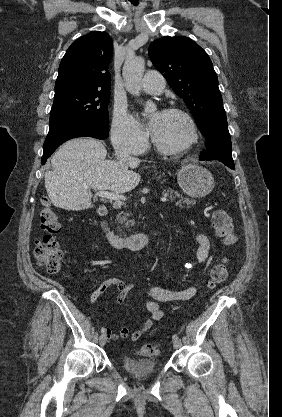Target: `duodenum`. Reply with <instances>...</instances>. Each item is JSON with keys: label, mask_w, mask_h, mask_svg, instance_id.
Returning a JSON list of instances; mask_svg holds the SVG:
<instances>
[{"label": "duodenum", "mask_w": 282, "mask_h": 417, "mask_svg": "<svg viewBox=\"0 0 282 417\" xmlns=\"http://www.w3.org/2000/svg\"><path fill=\"white\" fill-rule=\"evenodd\" d=\"M101 228L112 248L116 250L122 248L132 250L142 249L146 247L151 238V235L149 234L121 235L111 228L107 218H103Z\"/></svg>", "instance_id": "obj_1"}]
</instances>
